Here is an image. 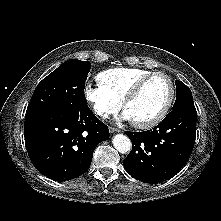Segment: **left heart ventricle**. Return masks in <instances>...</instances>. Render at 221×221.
Returning <instances> with one entry per match:
<instances>
[{
  "instance_id": "b2bd125f",
  "label": "left heart ventricle",
  "mask_w": 221,
  "mask_h": 221,
  "mask_svg": "<svg viewBox=\"0 0 221 221\" xmlns=\"http://www.w3.org/2000/svg\"><path fill=\"white\" fill-rule=\"evenodd\" d=\"M169 84L162 76L149 80L139 96L126 108L132 121L143 122L154 118L164 107L169 96Z\"/></svg>"
}]
</instances>
